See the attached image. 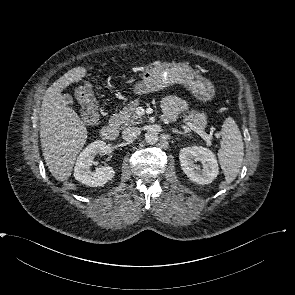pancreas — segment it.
Here are the masks:
<instances>
[{
  "instance_id": "1",
  "label": "pancreas",
  "mask_w": 295,
  "mask_h": 295,
  "mask_svg": "<svg viewBox=\"0 0 295 295\" xmlns=\"http://www.w3.org/2000/svg\"><path fill=\"white\" fill-rule=\"evenodd\" d=\"M139 102L137 100L130 102L118 114H114L111 123L116 127H127L142 123V118L136 113ZM185 120L195 124L200 129H204L207 125V116L195 110L184 114Z\"/></svg>"
}]
</instances>
